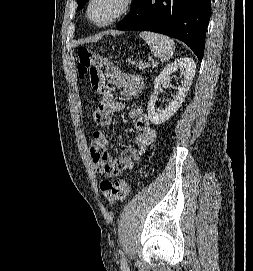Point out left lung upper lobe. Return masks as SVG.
<instances>
[{
    "mask_svg": "<svg viewBox=\"0 0 253 271\" xmlns=\"http://www.w3.org/2000/svg\"><path fill=\"white\" fill-rule=\"evenodd\" d=\"M135 1H136V0H134V3H135ZM77 2H78L77 10H81V9L84 7V5H85L86 0H77ZM134 3H133V5H132V8H133V6H134Z\"/></svg>",
    "mask_w": 253,
    "mask_h": 271,
    "instance_id": "5c2ea615",
    "label": "left lung upper lobe"
}]
</instances>
